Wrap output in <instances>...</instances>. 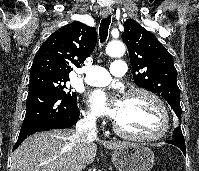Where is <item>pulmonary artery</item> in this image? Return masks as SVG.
<instances>
[{
    "instance_id": "pulmonary-artery-1",
    "label": "pulmonary artery",
    "mask_w": 199,
    "mask_h": 171,
    "mask_svg": "<svg viewBox=\"0 0 199 171\" xmlns=\"http://www.w3.org/2000/svg\"><path fill=\"white\" fill-rule=\"evenodd\" d=\"M84 81L92 86H104L111 81L112 76L121 77L126 72V64L117 59L111 63L109 71L100 66H88L83 68Z\"/></svg>"
}]
</instances>
